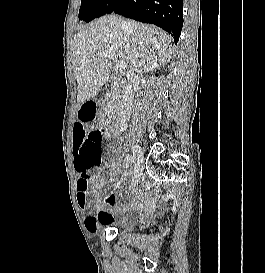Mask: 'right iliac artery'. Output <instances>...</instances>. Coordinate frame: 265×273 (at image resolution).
<instances>
[{
  "label": "right iliac artery",
  "instance_id": "right-iliac-artery-1",
  "mask_svg": "<svg viewBox=\"0 0 265 273\" xmlns=\"http://www.w3.org/2000/svg\"><path fill=\"white\" fill-rule=\"evenodd\" d=\"M125 159H126L128 162H131V163H134V162H135L134 156H132V155H130V154H126Z\"/></svg>",
  "mask_w": 265,
  "mask_h": 273
}]
</instances>
